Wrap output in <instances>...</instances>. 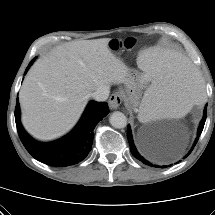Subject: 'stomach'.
I'll list each match as a JSON object with an SVG mask.
<instances>
[{
	"label": "stomach",
	"instance_id": "obj_1",
	"mask_svg": "<svg viewBox=\"0 0 215 215\" xmlns=\"http://www.w3.org/2000/svg\"><path fill=\"white\" fill-rule=\"evenodd\" d=\"M124 95L130 103L137 100V94L142 84V75L137 74L135 71L129 70L124 80Z\"/></svg>",
	"mask_w": 215,
	"mask_h": 215
}]
</instances>
